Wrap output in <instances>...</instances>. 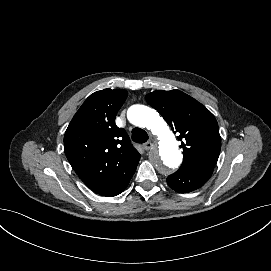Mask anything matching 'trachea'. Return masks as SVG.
I'll list each match as a JSON object with an SVG mask.
<instances>
[{"mask_svg":"<svg viewBox=\"0 0 271 271\" xmlns=\"http://www.w3.org/2000/svg\"><path fill=\"white\" fill-rule=\"evenodd\" d=\"M149 136L145 130L141 128H134L132 130V140L136 143H145Z\"/></svg>","mask_w":271,"mask_h":271,"instance_id":"obj_1","label":"trachea"}]
</instances>
